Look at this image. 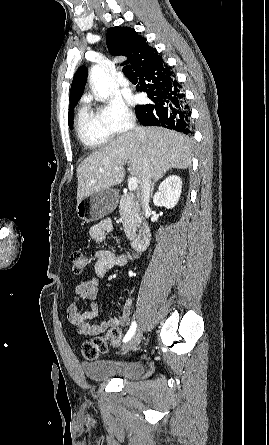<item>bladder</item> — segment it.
Here are the masks:
<instances>
[{
	"label": "bladder",
	"instance_id": "bladder-1",
	"mask_svg": "<svg viewBox=\"0 0 269 445\" xmlns=\"http://www.w3.org/2000/svg\"><path fill=\"white\" fill-rule=\"evenodd\" d=\"M84 375L94 381H105L113 378L130 380L138 378L143 372L139 362H119L113 360H93L81 362Z\"/></svg>",
	"mask_w": 269,
	"mask_h": 445
}]
</instances>
